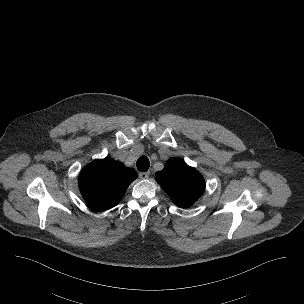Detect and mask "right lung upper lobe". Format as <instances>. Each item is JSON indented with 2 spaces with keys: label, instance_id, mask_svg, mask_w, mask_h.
I'll return each instance as SVG.
<instances>
[{
  "label": "right lung upper lobe",
  "instance_id": "obj_1",
  "mask_svg": "<svg viewBox=\"0 0 304 304\" xmlns=\"http://www.w3.org/2000/svg\"><path fill=\"white\" fill-rule=\"evenodd\" d=\"M137 178V173L125 168L119 161L105 158L94 160L79 176L83 198L100 210H107L119 203L126 189Z\"/></svg>",
  "mask_w": 304,
  "mask_h": 304
}]
</instances>
